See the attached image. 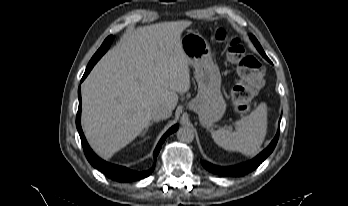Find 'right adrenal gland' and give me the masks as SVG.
Returning a JSON list of instances; mask_svg holds the SVG:
<instances>
[{
	"label": "right adrenal gland",
	"mask_w": 348,
	"mask_h": 206,
	"mask_svg": "<svg viewBox=\"0 0 348 206\" xmlns=\"http://www.w3.org/2000/svg\"><path fill=\"white\" fill-rule=\"evenodd\" d=\"M157 121H151L148 126L145 128V130L143 131V135L146 134V132L148 131L149 127L153 125V123H155Z\"/></svg>",
	"instance_id": "2a0ac1e0"
}]
</instances>
